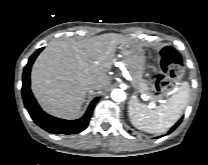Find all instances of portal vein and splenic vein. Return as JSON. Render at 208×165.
<instances>
[{
  "label": "portal vein and splenic vein",
  "instance_id": "18ae733b",
  "mask_svg": "<svg viewBox=\"0 0 208 165\" xmlns=\"http://www.w3.org/2000/svg\"><path fill=\"white\" fill-rule=\"evenodd\" d=\"M142 98H143L144 100H149V97H148L147 95H145V94L142 95ZM149 106H150V107H154L155 104H154L153 102H151Z\"/></svg>",
  "mask_w": 208,
  "mask_h": 165
}]
</instances>
